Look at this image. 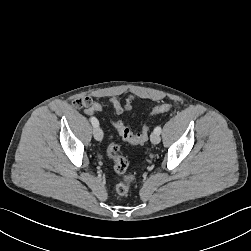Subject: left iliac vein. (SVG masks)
<instances>
[{
    "mask_svg": "<svg viewBox=\"0 0 251 251\" xmlns=\"http://www.w3.org/2000/svg\"><path fill=\"white\" fill-rule=\"evenodd\" d=\"M150 139H151V142L153 144H158L160 142V140H161V137H160V134H158L156 132H153L151 134V138Z\"/></svg>",
    "mask_w": 251,
    "mask_h": 251,
    "instance_id": "1",
    "label": "left iliac vein"
}]
</instances>
